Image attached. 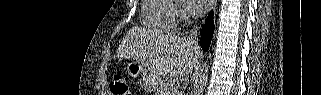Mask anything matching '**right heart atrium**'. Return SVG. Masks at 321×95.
I'll return each instance as SVG.
<instances>
[{
	"label": "right heart atrium",
	"mask_w": 321,
	"mask_h": 95,
	"mask_svg": "<svg viewBox=\"0 0 321 95\" xmlns=\"http://www.w3.org/2000/svg\"><path fill=\"white\" fill-rule=\"evenodd\" d=\"M176 13H177L178 16H184L185 15L184 11L182 9L178 8V7H177V10H176Z\"/></svg>",
	"instance_id": "obj_1"
}]
</instances>
